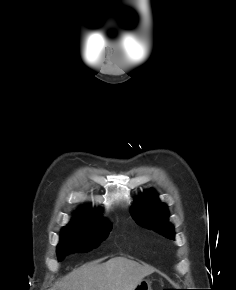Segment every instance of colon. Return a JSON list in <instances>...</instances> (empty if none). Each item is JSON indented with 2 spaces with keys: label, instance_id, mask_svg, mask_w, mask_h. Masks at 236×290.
<instances>
[{
  "label": "colon",
  "instance_id": "obj_1",
  "mask_svg": "<svg viewBox=\"0 0 236 290\" xmlns=\"http://www.w3.org/2000/svg\"><path fill=\"white\" fill-rule=\"evenodd\" d=\"M163 290H173V289H163Z\"/></svg>",
  "mask_w": 236,
  "mask_h": 290
}]
</instances>
